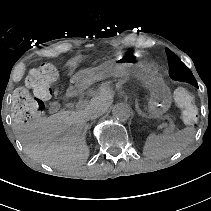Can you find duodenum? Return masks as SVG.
<instances>
[{
	"instance_id": "obj_1",
	"label": "duodenum",
	"mask_w": 211,
	"mask_h": 211,
	"mask_svg": "<svg viewBox=\"0 0 211 211\" xmlns=\"http://www.w3.org/2000/svg\"><path fill=\"white\" fill-rule=\"evenodd\" d=\"M82 89H83L82 83L79 81H74L70 85V87L67 91V98L71 99V98L78 96L81 93Z\"/></svg>"
}]
</instances>
